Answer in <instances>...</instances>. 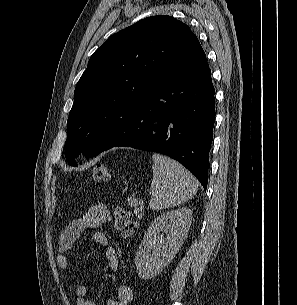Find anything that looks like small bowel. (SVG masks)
Wrapping results in <instances>:
<instances>
[{
	"label": "small bowel",
	"mask_w": 297,
	"mask_h": 305,
	"mask_svg": "<svg viewBox=\"0 0 297 305\" xmlns=\"http://www.w3.org/2000/svg\"><path fill=\"white\" fill-rule=\"evenodd\" d=\"M111 219V213L104 204L91 206L81 218L71 222L60 233L58 238L57 264L59 268L66 269L68 266V252L80 238L85 229L94 231V240L104 250L105 263L110 269L118 267V258L115 249L109 244L107 237L101 233L100 228ZM88 288L84 284L76 287L78 305H97L87 298ZM134 292L130 284L122 283L117 287L116 298L109 300L107 305H129L133 300Z\"/></svg>",
	"instance_id": "c3829d8e"
}]
</instances>
